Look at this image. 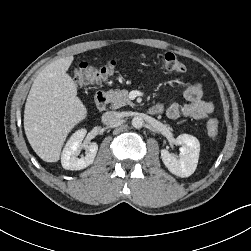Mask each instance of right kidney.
Here are the masks:
<instances>
[{"instance_id":"ca27d5eb","label":"right kidney","mask_w":251,"mask_h":251,"mask_svg":"<svg viewBox=\"0 0 251 251\" xmlns=\"http://www.w3.org/2000/svg\"><path fill=\"white\" fill-rule=\"evenodd\" d=\"M86 132L85 129L76 131L66 143L61 155V163L64 169L81 170L93 163L98 151V145L95 142L88 145L87 153L84 157H77Z\"/></svg>"}]
</instances>
